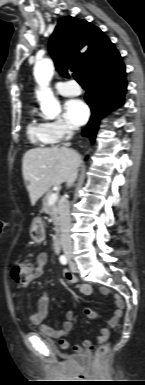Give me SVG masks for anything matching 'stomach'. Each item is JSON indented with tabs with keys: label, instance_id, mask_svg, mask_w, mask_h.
I'll return each instance as SVG.
<instances>
[{
	"label": "stomach",
	"instance_id": "stomach-1",
	"mask_svg": "<svg viewBox=\"0 0 145 385\" xmlns=\"http://www.w3.org/2000/svg\"><path fill=\"white\" fill-rule=\"evenodd\" d=\"M30 237L35 243H41L45 239V230L41 219H34L30 228Z\"/></svg>",
	"mask_w": 145,
	"mask_h": 385
}]
</instances>
